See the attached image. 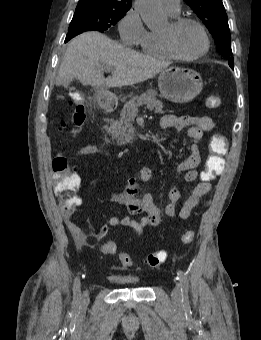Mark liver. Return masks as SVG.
Wrapping results in <instances>:
<instances>
[{"label":"liver","instance_id":"1","mask_svg":"<svg viewBox=\"0 0 261 340\" xmlns=\"http://www.w3.org/2000/svg\"><path fill=\"white\" fill-rule=\"evenodd\" d=\"M169 63L117 44L107 36L91 31L75 37L68 45L56 85L67 86L72 79L97 88L134 85L153 78ZM112 69V76L103 71Z\"/></svg>","mask_w":261,"mask_h":340}]
</instances>
